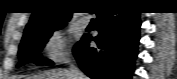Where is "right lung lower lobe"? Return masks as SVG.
Here are the masks:
<instances>
[{"mask_svg":"<svg viewBox=\"0 0 177 79\" xmlns=\"http://www.w3.org/2000/svg\"><path fill=\"white\" fill-rule=\"evenodd\" d=\"M97 14L99 35L85 34L73 49L82 71L92 79H131L139 43L140 16L113 7ZM97 47L89 46V41Z\"/></svg>","mask_w":177,"mask_h":79,"instance_id":"98d812e1","label":"right lung lower lobe"}]
</instances>
